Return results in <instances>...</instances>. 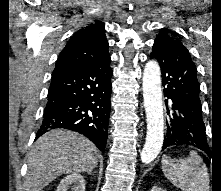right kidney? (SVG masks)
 Masks as SVG:
<instances>
[{"label": "right kidney", "mask_w": 221, "mask_h": 191, "mask_svg": "<svg viewBox=\"0 0 221 191\" xmlns=\"http://www.w3.org/2000/svg\"><path fill=\"white\" fill-rule=\"evenodd\" d=\"M85 191V180L81 174L72 173L64 177L57 187L56 191Z\"/></svg>", "instance_id": "right-kidney-1"}]
</instances>
